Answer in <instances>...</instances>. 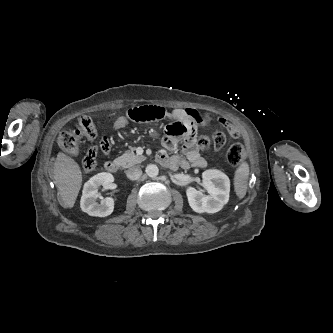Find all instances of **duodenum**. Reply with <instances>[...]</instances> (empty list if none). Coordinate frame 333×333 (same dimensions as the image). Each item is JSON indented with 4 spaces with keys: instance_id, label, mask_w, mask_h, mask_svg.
Masks as SVG:
<instances>
[{
    "instance_id": "obj_1",
    "label": "duodenum",
    "mask_w": 333,
    "mask_h": 333,
    "mask_svg": "<svg viewBox=\"0 0 333 333\" xmlns=\"http://www.w3.org/2000/svg\"><path fill=\"white\" fill-rule=\"evenodd\" d=\"M105 168L110 173H116L119 169V164L116 161H108L105 164Z\"/></svg>"
}]
</instances>
